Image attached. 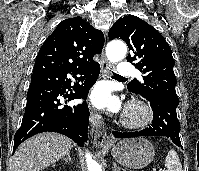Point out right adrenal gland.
<instances>
[{
	"mask_svg": "<svg viewBox=\"0 0 199 171\" xmlns=\"http://www.w3.org/2000/svg\"><path fill=\"white\" fill-rule=\"evenodd\" d=\"M63 160H64V161L69 160V162L73 163L72 158H71V156H70V153H67V154H66V157H63Z\"/></svg>",
	"mask_w": 199,
	"mask_h": 171,
	"instance_id": "obj_1",
	"label": "right adrenal gland"
}]
</instances>
